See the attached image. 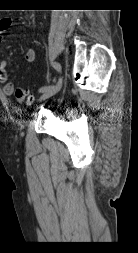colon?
<instances>
[{"label": "colon", "mask_w": 138, "mask_h": 253, "mask_svg": "<svg viewBox=\"0 0 138 253\" xmlns=\"http://www.w3.org/2000/svg\"><path fill=\"white\" fill-rule=\"evenodd\" d=\"M15 99L24 104H31L33 102V97L29 94L28 90L23 87H18L14 90Z\"/></svg>", "instance_id": "obj_1"}]
</instances>
